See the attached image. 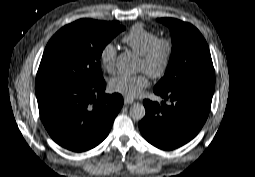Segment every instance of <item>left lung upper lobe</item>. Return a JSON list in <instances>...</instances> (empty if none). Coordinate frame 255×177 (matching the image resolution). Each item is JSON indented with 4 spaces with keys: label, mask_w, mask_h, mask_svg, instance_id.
I'll list each match as a JSON object with an SVG mask.
<instances>
[{
    "label": "left lung upper lobe",
    "mask_w": 255,
    "mask_h": 177,
    "mask_svg": "<svg viewBox=\"0 0 255 177\" xmlns=\"http://www.w3.org/2000/svg\"><path fill=\"white\" fill-rule=\"evenodd\" d=\"M172 36V53L164 77L154 87L168 91L196 80H215L208 45L201 33L191 24L174 18H160Z\"/></svg>",
    "instance_id": "1"
}]
</instances>
